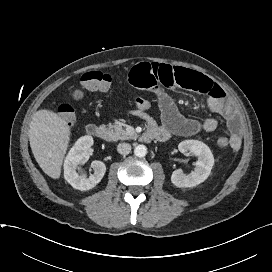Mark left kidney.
I'll use <instances>...</instances> for the list:
<instances>
[{
    "label": "left kidney",
    "instance_id": "5707ae66",
    "mask_svg": "<svg viewBox=\"0 0 272 272\" xmlns=\"http://www.w3.org/2000/svg\"><path fill=\"white\" fill-rule=\"evenodd\" d=\"M181 153H193L198 157L195 169L189 174L177 169L172 173L171 182L179 188L194 187L205 181L211 173L214 165V157L210 148L198 140H185L179 143Z\"/></svg>",
    "mask_w": 272,
    "mask_h": 272
}]
</instances>
